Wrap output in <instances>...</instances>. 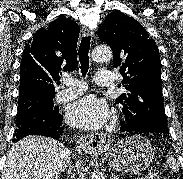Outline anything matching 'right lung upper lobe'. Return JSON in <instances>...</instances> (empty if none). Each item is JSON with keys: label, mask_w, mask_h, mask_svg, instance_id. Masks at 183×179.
<instances>
[{"label": "right lung upper lobe", "mask_w": 183, "mask_h": 179, "mask_svg": "<svg viewBox=\"0 0 183 179\" xmlns=\"http://www.w3.org/2000/svg\"><path fill=\"white\" fill-rule=\"evenodd\" d=\"M79 31L76 22L62 16L36 31L23 51L19 97L55 94L54 83L62 72L77 67Z\"/></svg>", "instance_id": "obj_1"}]
</instances>
